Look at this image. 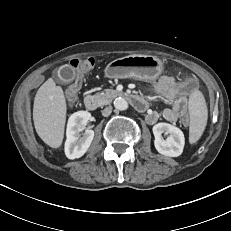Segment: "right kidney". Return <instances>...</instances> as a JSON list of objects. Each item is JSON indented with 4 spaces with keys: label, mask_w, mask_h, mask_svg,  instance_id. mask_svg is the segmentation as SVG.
I'll return each mask as SVG.
<instances>
[{
    "label": "right kidney",
    "mask_w": 231,
    "mask_h": 231,
    "mask_svg": "<svg viewBox=\"0 0 231 231\" xmlns=\"http://www.w3.org/2000/svg\"><path fill=\"white\" fill-rule=\"evenodd\" d=\"M90 117L91 115L87 111H78L69 117L65 141V155L67 158H80L89 149L94 138V131L87 129L83 137H79Z\"/></svg>",
    "instance_id": "1"
}]
</instances>
